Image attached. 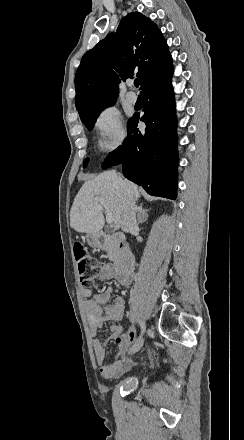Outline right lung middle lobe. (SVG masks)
I'll return each instance as SVG.
<instances>
[{
    "mask_svg": "<svg viewBox=\"0 0 244 440\" xmlns=\"http://www.w3.org/2000/svg\"><path fill=\"white\" fill-rule=\"evenodd\" d=\"M115 101H116V99H112V100H108V101L104 102L103 104H101L95 108H92V109L78 110L82 122L85 124V126L88 129H91L93 127L94 123L96 122V119L99 116L100 112L104 108L113 105L115 103ZM88 161H89V158H86L84 160V167L88 164Z\"/></svg>",
    "mask_w": 244,
    "mask_h": 440,
    "instance_id": "dd1d6c3e",
    "label": "right lung middle lobe"
}]
</instances>
